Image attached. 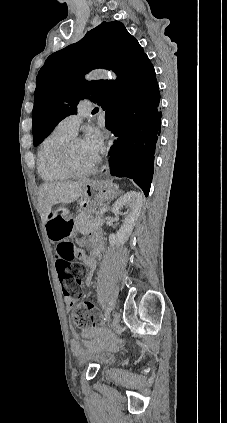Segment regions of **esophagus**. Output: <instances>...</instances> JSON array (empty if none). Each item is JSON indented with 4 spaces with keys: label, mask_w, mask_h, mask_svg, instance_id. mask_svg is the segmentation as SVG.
I'll list each match as a JSON object with an SVG mask.
<instances>
[{
    "label": "esophagus",
    "mask_w": 227,
    "mask_h": 423,
    "mask_svg": "<svg viewBox=\"0 0 227 423\" xmlns=\"http://www.w3.org/2000/svg\"><path fill=\"white\" fill-rule=\"evenodd\" d=\"M112 144H113V138L108 135L106 137V161L99 172L100 177L107 175L109 173L108 153L110 151Z\"/></svg>",
    "instance_id": "esophagus-1"
}]
</instances>
